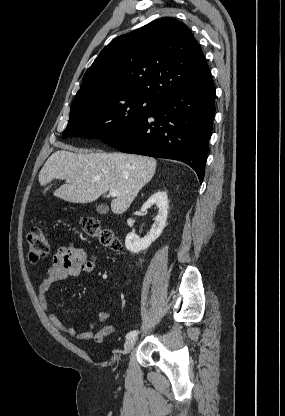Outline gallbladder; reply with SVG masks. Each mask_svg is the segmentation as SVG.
<instances>
[{
  "label": "gallbladder",
  "mask_w": 285,
  "mask_h": 416,
  "mask_svg": "<svg viewBox=\"0 0 285 416\" xmlns=\"http://www.w3.org/2000/svg\"><path fill=\"white\" fill-rule=\"evenodd\" d=\"M96 212H98V214H107V212H109V206L101 204V206H97Z\"/></svg>",
  "instance_id": "obj_1"
}]
</instances>
